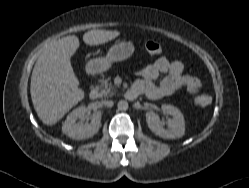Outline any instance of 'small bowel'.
<instances>
[{
  "mask_svg": "<svg viewBox=\"0 0 249 188\" xmlns=\"http://www.w3.org/2000/svg\"><path fill=\"white\" fill-rule=\"evenodd\" d=\"M139 79L133 85L150 100H158L172 94L174 91L185 88L188 93L196 94L201 86L198 78L184 73V65L178 60L170 61L166 57H160L154 64L137 70ZM165 75L163 80H156Z\"/></svg>",
  "mask_w": 249,
  "mask_h": 188,
  "instance_id": "small-bowel-1",
  "label": "small bowel"
}]
</instances>
